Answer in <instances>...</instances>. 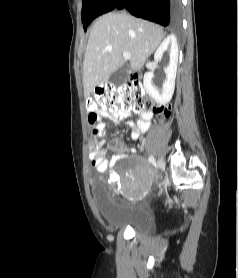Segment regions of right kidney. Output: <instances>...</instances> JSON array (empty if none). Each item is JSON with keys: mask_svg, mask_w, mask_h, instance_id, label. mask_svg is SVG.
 <instances>
[{"mask_svg": "<svg viewBox=\"0 0 238 278\" xmlns=\"http://www.w3.org/2000/svg\"><path fill=\"white\" fill-rule=\"evenodd\" d=\"M168 49L170 50V62L168 67L165 69L166 80L163 83L162 89L159 90L152 83V79L154 77L153 70L145 73L143 78V83L146 92L159 104L168 103L171 100L172 95L174 93L178 62V45L176 37L173 35H170L167 38H165L164 41L160 44V46L154 54V59H161L163 53Z\"/></svg>", "mask_w": 238, "mask_h": 278, "instance_id": "obj_1", "label": "right kidney"}]
</instances>
